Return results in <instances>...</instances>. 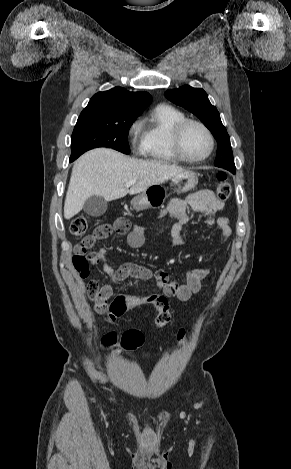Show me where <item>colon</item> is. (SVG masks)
<instances>
[{"mask_svg":"<svg viewBox=\"0 0 291 469\" xmlns=\"http://www.w3.org/2000/svg\"><path fill=\"white\" fill-rule=\"evenodd\" d=\"M217 187L216 198L219 201H224L229 198L232 192V187L228 181L227 174L220 171L217 174ZM89 219L86 216H77L70 222L69 231L72 235L82 237L77 252L73 256V265L81 277L85 278L89 274V265L96 264L94 259L86 256V250L90 248L97 240L103 239L106 229L101 225L96 227L91 233H88ZM99 285L96 282L90 281L87 285V292L93 299L98 293ZM170 295L168 293L150 294L148 300L129 301L127 293H114L113 299L110 301L109 310L106 312V319L108 322L113 320H121L123 313L128 310L129 306H140L154 308L157 310L155 325L161 329L165 327L171 320L169 310ZM144 342L143 334L138 330H128L119 338L116 333H108L103 339L102 343L106 347H111L119 344L124 350L134 351L142 346ZM187 342V335L184 330L178 333V343L184 345Z\"/></svg>","mask_w":291,"mask_h":469,"instance_id":"1","label":"colon"}]
</instances>
